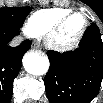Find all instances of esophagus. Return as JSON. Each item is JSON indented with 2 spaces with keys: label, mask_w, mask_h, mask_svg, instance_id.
I'll list each match as a JSON object with an SVG mask.
<instances>
[{
  "label": "esophagus",
  "mask_w": 103,
  "mask_h": 103,
  "mask_svg": "<svg viewBox=\"0 0 103 103\" xmlns=\"http://www.w3.org/2000/svg\"><path fill=\"white\" fill-rule=\"evenodd\" d=\"M38 47H39V45H38L37 43H33V44H32V48H33V49H38Z\"/></svg>",
  "instance_id": "obj_1"
}]
</instances>
